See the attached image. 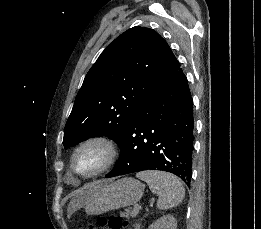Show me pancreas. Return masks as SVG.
Returning a JSON list of instances; mask_svg holds the SVG:
<instances>
[{"instance_id":"1","label":"pancreas","mask_w":261,"mask_h":229,"mask_svg":"<svg viewBox=\"0 0 261 229\" xmlns=\"http://www.w3.org/2000/svg\"><path fill=\"white\" fill-rule=\"evenodd\" d=\"M138 210L133 209V211H126V213H123L121 217H126V219H134V217H137Z\"/></svg>"}]
</instances>
